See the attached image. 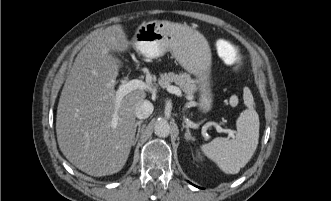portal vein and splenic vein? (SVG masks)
Here are the masks:
<instances>
[{"label":"portal vein and splenic vein","mask_w":331,"mask_h":201,"mask_svg":"<svg viewBox=\"0 0 331 201\" xmlns=\"http://www.w3.org/2000/svg\"><path fill=\"white\" fill-rule=\"evenodd\" d=\"M137 89L150 91L153 94H155V92H156L155 88H152L149 84H147V83H145V82H143L142 80H139V79H133V80H130V81L122 82L118 86V88L115 92V106H116V109L120 105V102L123 99V97H125L127 94H129L132 91L137 90ZM167 91L169 93L175 94L177 96H181V90L176 86L169 85L167 87ZM117 124H118V116L115 113L113 115L111 126L113 128H116ZM213 125L216 128L217 132H219V133L228 132L230 136L234 137V133H233L232 130L223 129L220 125H218L216 123H214Z\"/></svg>","instance_id":"obj_1"}]
</instances>
